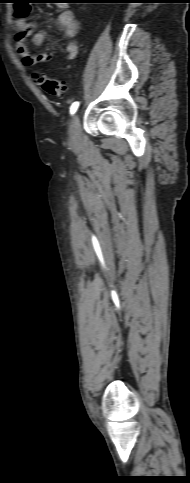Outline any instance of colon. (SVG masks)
<instances>
[{
	"mask_svg": "<svg viewBox=\"0 0 190 483\" xmlns=\"http://www.w3.org/2000/svg\"><path fill=\"white\" fill-rule=\"evenodd\" d=\"M28 7L27 3L20 5L16 10L17 16L20 18L25 17ZM36 81L47 93L56 97H62L66 90L64 81L56 77L45 74L36 75Z\"/></svg>",
	"mask_w": 190,
	"mask_h": 483,
	"instance_id": "obj_1",
	"label": "colon"
}]
</instances>
